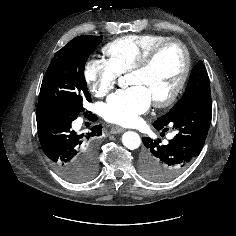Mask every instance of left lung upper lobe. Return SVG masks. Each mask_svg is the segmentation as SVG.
Listing matches in <instances>:
<instances>
[{
    "mask_svg": "<svg viewBox=\"0 0 236 236\" xmlns=\"http://www.w3.org/2000/svg\"><path fill=\"white\" fill-rule=\"evenodd\" d=\"M209 94V78L202 61H200L192 70L186 91L182 98L167 114L157 119L154 124H164L166 121L170 120L173 116L185 109L189 104L198 98Z\"/></svg>",
    "mask_w": 236,
    "mask_h": 236,
    "instance_id": "obj_1",
    "label": "left lung upper lobe"
}]
</instances>
